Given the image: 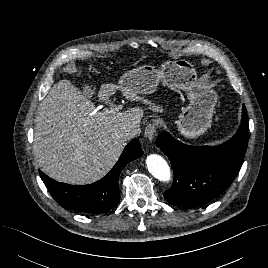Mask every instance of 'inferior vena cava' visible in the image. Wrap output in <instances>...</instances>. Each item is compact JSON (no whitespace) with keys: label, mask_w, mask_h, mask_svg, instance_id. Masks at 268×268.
<instances>
[{"label":"inferior vena cava","mask_w":268,"mask_h":268,"mask_svg":"<svg viewBox=\"0 0 268 268\" xmlns=\"http://www.w3.org/2000/svg\"><path fill=\"white\" fill-rule=\"evenodd\" d=\"M139 128H132L126 131H122V132H115L112 134V136L116 139H121V140H129L133 137H135L138 133H139Z\"/></svg>","instance_id":"obj_1"}]
</instances>
